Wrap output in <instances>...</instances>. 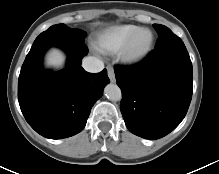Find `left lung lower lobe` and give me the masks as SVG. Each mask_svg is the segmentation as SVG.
<instances>
[{
  "label": "left lung lower lobe",
  "instance_id": "left-lung-lower-lobe-1",
  "mask_svg": "<svg viewBox=\"0 0 219 174\" xmlns=\"http://www.w3.org/2000/svg\"><path fill=\"white\" fill-rule=\"evenodd\" d=\"M127 128L146 139H159L184 119L192 98V63L185 46L154 49L134 66H115Z\"/></svg>",
  "mask_w": 219,
  "mask_h": 174
}]
</instances>
